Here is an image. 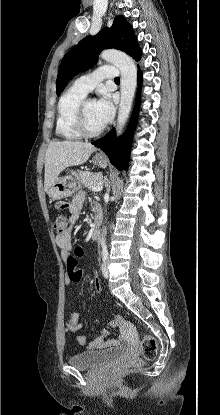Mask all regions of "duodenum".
<instances>
[{
    "label": "duodenum",
    "instance_id": "obj_1",
    "mask_svg": "<svg viewBox=\"0 0 220 415\" xmlns=\"http://www.w3.org/2000/svg\"><path fill=\"white\" fill-rule=\"evenodd\" d=\"M101 222H102V216H101V213H98V214L95 215L94 224H93V228H92V236L94 238H97L98 235H99Z\"/></svg>",
    "mask_w": 220,
    "mask_h": 415
}]
</instances>
